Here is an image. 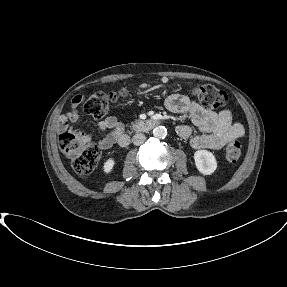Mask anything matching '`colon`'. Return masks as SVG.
I'll return each instance as SVG.
<instances>
[{
  "label": "colon",
  "mask_w": 287,
  "mask_h": 287,
  "mask_svg": "<svg viewBox=\"0 0 287 287\" xmlns=\"http://www.w3.org/2000/svg\"><path fill=\"white\" fill-rule=\"evenodd\" d=\"M127 90L119 92H95L84 102L85 112L94 118L100 119L107 115L110 103L119 97L126 96ZM193 96L206 108L223 107L228 102L227 94L210 84L196 85L190 90ZM61 151L71 160L72 167L79 175H88L95 169L99 158L100 149L89 137L78 130H67L59 137ZM243 146L239 140L231 141L226 149L225 156L230 163H236L242 155Z\"/></svg>",
  "instance_id": "1"
}]
</instances>
